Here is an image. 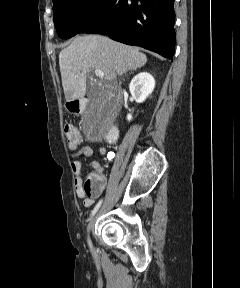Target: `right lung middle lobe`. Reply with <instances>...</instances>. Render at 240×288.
<instances>
[{
  "mask_svg": "<svg viewBox=\"0 0 240 288\" xmlns=\"http://www.w3.org/2000/svg\"><path fill=\"white\" fill-rule=\"evenodd\" d=\"M111 0H53L58 35L68 39L81 33L106 9Z\"/></svg>",
  "mask_w": 240,
  "mask_h": 288,
  "instance_id": "obj_1",
  "label": "right lung middle lobe"
}]
</instances>
